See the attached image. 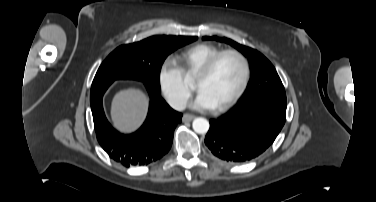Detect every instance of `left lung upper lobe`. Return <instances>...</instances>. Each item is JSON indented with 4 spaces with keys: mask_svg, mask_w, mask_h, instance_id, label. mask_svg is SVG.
<instances>
[{
    "mask_svg": "<svg viewBox=\"0 0 376 202\" xmlns=\"http://www.w3.org/2000/svg\"><path fill=\"white\" fill-rule=\"evenodd\" d=\"M226 42L243 53L250 63V82L240 104L255 101L259 98H269L282 104H287L284 86L270 61L260 52L240 45L228 38L203 37V40Z\"/></svg>",
    "mask_w": 376,
    "mask_h": 202,
    "instance_id": "5c2ea615",
    "label": "left lung upper lobe"
}]
</instances>
